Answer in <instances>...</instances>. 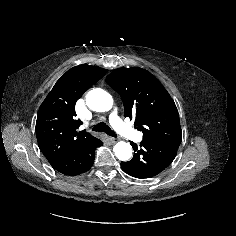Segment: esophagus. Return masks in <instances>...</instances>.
Returning <instances> with one entry per match:
<instances>
[{"instance_id":"esophagus-1","label":"esophagus","mask_w":236,"mask_h":236,"mask_svg":"<svg viewBox=\"0 0 236 236\" xmlns=\"http://www.w3.org/2000/svg\"><path fill=\"white\" fill-rule=\"evenodd\" d=\"M109 140H110L112 143H115V142H117V141H118V139H117V138H113V137H110V138H109Z\"/></svg>"}]
</instances>
